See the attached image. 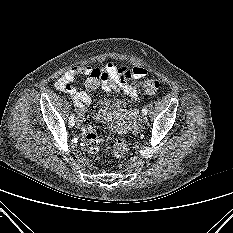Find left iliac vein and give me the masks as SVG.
Instances as JSON below:
<instances>
[{"label": "left iliac vein", "mask_w": 233, "mask_h": 233, "mask_svg": "<svg viewBox=\"0 0 233 233\" xmlns=\"http://www.w3.org/2000/svg\"><path fill=\"white\" fill-rule=\"evenodd\" d=\"M146 121H147L146 115L142 114V115L140 116V122H141V123H145Z\"/></svg>", "instance_id": "obj_1"}]
</instances>
